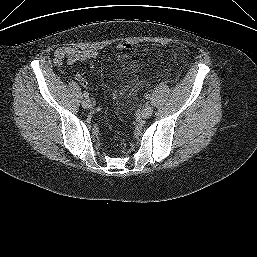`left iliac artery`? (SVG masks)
<instances>
[{
    "mask_svg": "<svg viewBox=\"0 0 257 257\" xmlns=\"http://www.w3.org/2000/svg\"><path fill=\"white\" fill-rule=\"evenodd\" d=\"M145 98H146V99H149V98H150V95H149V94H146V95H145Z\"/></svg>",
    "mask_w": 257,
    "mask_h": 257,
    "instance_id": "1",
    "label": "left iliac artery"
}]
</instances>
